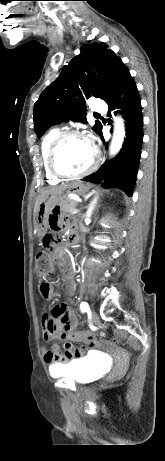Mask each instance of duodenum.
<instances>
[{
	"mask_svg": "<svg viewBox=\"0 0 165 461\" xmlns=\"http://www.w3.org/2000/svg\"><path fill=\"white\" fill-rule=\"evenodd\" d=\"M78 240V235L77 233L74 231V228L71 229L70 233H69V236H68V241L69 243H74Z\"/></svg>",
	"mask_w": 165,
	"mask_h": 461,
	"instance_id": "obj_1",
	"label": "duodenum"
}]
</instances>
